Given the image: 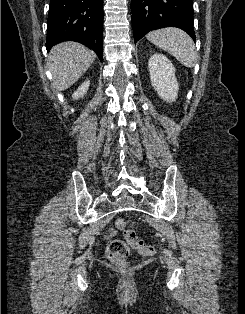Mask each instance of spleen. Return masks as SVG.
I'll return each instance as SVG.
<instances>
[{"mask_svg":"<svg viewBox=\"0 0 245 314\" xmlns=\"http://www.w3.org/2000/svg\"><path fill=\"white\" fill-rule=\"evenodd\" d=\"M146 38L173 55L185 67L195 66L197 54L194 42L183 30L174 27L158 29L149 32Z\"/></svg>","mask_w":245,"mask_h":314,"instance_id":"1","label":"spleen"}]
</instances>
